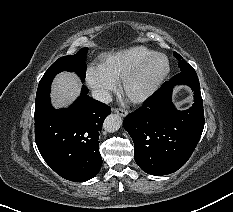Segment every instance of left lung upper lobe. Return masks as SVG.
<instances>
[{"instance_id":"left-lung-upper-lobe-1","label":"left lung upper lobe","mask_w":233,"mask_h":212,"mask_svg":"<svg viewBox=\"0 0 233 212\" xmlns=\"http://www.w3.org/2000/svg\"><path fill=\"white\" fill-rule=\"evenodd\" d=\"M173 55L179 61L178 66L180 68V72L178 74H176L175 76L187 75V74H196L195 70L184 59H182V57L178 53L174 52Z\"/></svg>"}]
</instances>
